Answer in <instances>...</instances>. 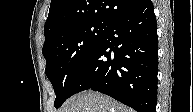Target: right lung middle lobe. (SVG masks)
Returning <instances> with one entry per match:
<instances>
[{"label": "right lung middle lobe", "instance_id": "dd1d6c3e", "mask_svg": "<svg viewBox=\"0 0 193 112\" xmlns=\"http://www.w3.org/2000/svg\"><path fill=\"white\" fill-rule=\"evenodd\" d=\"M106 27L98 23L72 25L44 43L45 73L56 94V108L70 97L74 82L99 44Z\"/></svg>", "mask_w": 193, "mask_h": 112}]
</instances>
